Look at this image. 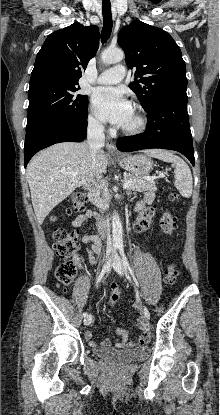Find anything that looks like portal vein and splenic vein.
Listing matches in <instances>:
<instances>
[{
	"instance_id": "1",
	"label": "portal vein and splenic vein",
	"mask_w": 220,
	"mask_h": 415,
	"mask_svg": "<svg viewBox=\"0 0 220 415\" xmlns=\"http://www.w3.org/2000/svg\"><path fill=\"white\" fill-rule=\"evenodd\" d=\"M68 174L72 175L73 177H76V176H77V173H75V172L68 173ZM158 177L163 178V177H164V174H163V173H161V174H159V176H158ZM155 178H156V177H151V176L144 177V179H145V180H147V181H151V182H153ZM132 183H133V181H132V180L126 181V182L123 184V188H124V189L129 188V187L132 185Z\"/></svg>"
}]
</instances>
